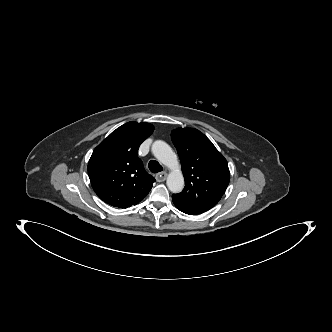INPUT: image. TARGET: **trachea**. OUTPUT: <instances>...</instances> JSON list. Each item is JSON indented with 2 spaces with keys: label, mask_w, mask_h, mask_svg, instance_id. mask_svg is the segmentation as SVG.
Wrapping results in <instances>:
<instances>
[{
  "label": "trachea",
  "mask_w": 332,
  "mask_h": 332,
  "mask_svg": "<svg viewBox=\"0 0 332 332\" xmlns=\"http://www.w3.org/2000/svg\"><path fill=\"white\" fill-rule=\"evenodd\" d=\"M148 167H149V170L152 173H158V172H161L163 170V167L155 160H151L148 163Z\"/></svg>",
  "instance_id": "3493384b"
}]
</instances>
